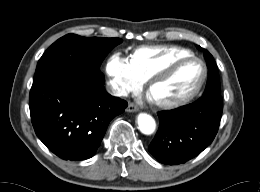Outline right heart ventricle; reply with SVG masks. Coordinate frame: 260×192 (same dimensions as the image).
Segmentation results:
<instances>
[{"label":"right heart ventricle","mask_w":260,"mask_h":192,"mask_svg":"<svg viewBox=\"0 0 260 192\" xmlns=\"http://www.w3.org/2000/svg\"><path fill=\"white\" fill-rule=\"evenodd\" d=\"M187 55L185 51L176 48L144 47L134 53L131 62L139 76L146 80L172 62Z\"/></svg>","instance_id":"obj_1"}]
</instances>
